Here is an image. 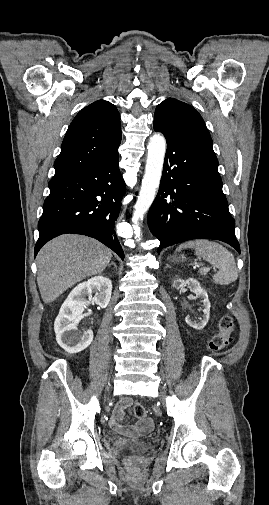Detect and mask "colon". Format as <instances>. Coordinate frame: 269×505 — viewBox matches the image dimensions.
Listing matches in <instances>:
<instances>
[{
  "instance_id": "5ec220e1",
  "label": "colon",
  "mask_w": 269,
  "mask_h": 505,
  "mask_svg": "<svg viewBox=\"0 0 269 505\" xmlns=\"http://www.w3.org/2000/svg\"><path fill=\"white\" fill-rule=\"evenodd\" d=\"M235 330V324L233 317L229 314L223 315L219 322L218 332L209 341L210 351L217 353L225 349L231 341V337ZM134 414L138 418H144L146 415V409L141 404H136L134 406Z\"/></svg>"
}]
</instances>
